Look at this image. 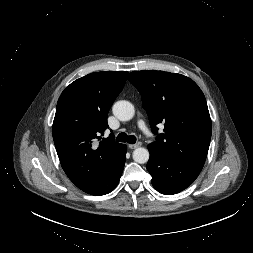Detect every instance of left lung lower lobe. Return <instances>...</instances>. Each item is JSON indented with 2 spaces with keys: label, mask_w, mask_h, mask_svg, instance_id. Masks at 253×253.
Masks as SVG:
<instances>
[{
  "label": "left lung lower lobe",
  "mask_w": 253,
  "mask_h": 253,
  "mask_svg": "<svg viewBox=\"0 0 253 253\" xmlns=\"http://www.w3.org/2000/svg\"><path fill=\"white\" fill-rule=\"evenodd\" d=\"M148 150L150 158L146 168L152 176V185L162 194L173 195L183 191L200 173L199 170L170 160L150 144Z\"/></svg>",
  "instance_id": "left-lung-lower-lobe-1"
}]
</instances>
